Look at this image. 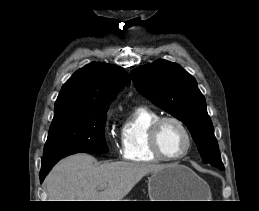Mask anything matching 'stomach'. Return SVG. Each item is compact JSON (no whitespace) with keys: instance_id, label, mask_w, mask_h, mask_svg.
Listing matches in <instances>:
<instances>
[{"instance_id":"obj_1","label":"stomach","mask_w":259,"mask_h":211,"mask_svg":"<svg viewBox=\"0 0 259 211\" xmlns=\"http://www.w3.org/2000/svg\"><path fill=\"white\" fill-rule=\"evenodd\" d=\"M148 193L151 201H202L209 188L190 168L170 164L150 174Z\"/></svg>"}]
</instances>
